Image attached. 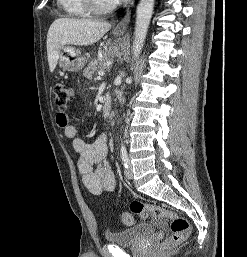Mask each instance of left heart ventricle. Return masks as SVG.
I'll return each instance as SVG.
<instances>
[{"instance_id": "left-heart-ventricle-1", "label": "left heart ventricle", "mask_w": 247, "mask_h": 257, "mask_svg": "<svg viewBox=\"0 0 247 257\" xmlns=\"http://www.w3.org/2000/svg\"><path fill=\"white\" fill-rule=\"evenodd\" d=\"M111 1H113V0H97V2H98L99 4H101V5H106V4H108L109 2H111Z\"/></svg>"}]
</instances>
